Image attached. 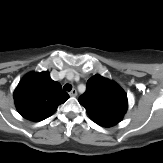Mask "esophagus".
Instances as JSON below:
<instances>
[{
	"label": "esophagus",
	"instance_id": "esophagus-1",
	"mask_svg": "<svg viewBox=\"0 0 163 163\" xmlns=\"http://www.w3.org/2000/svg\"><path fill=\"white\" fill-rule=\"evenodd\" d=\"M69 95L71 97H76L77 96V90L76 89H73L72 91L69 92Z\"/></svg>",
	"mask_w": 163,
	"mask_h": 163
}]
</instances>
